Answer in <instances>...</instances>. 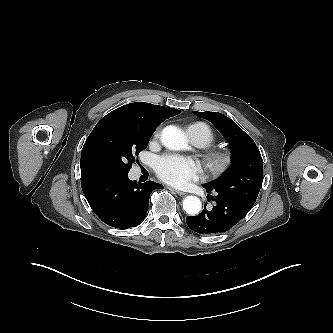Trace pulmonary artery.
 Instances as JSON below:
<instances>
[{
	"instance_id": "e3ab8cb5",
	"label": "pulmonary artery",
	"mask_w": 333,
	"mask_h": 333,
	"mask_svg": "<svg viewBox=\"0 0 333 333\" xmlns=\"http://www.w3.org/2000/svg\"><path fill=\"white\" fill-rule=\"evenodd\" d=\"M191 141H192L196 146L202 147V143H201L198 139L192 138Z\"/></svg>"
}]
</instances>
